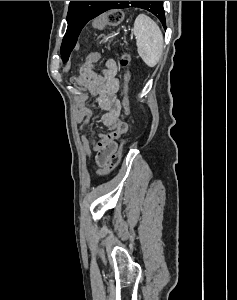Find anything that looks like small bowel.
Listing matches in <instances>:
<instances>
[{
	"label": "small bowel",
	"instance_id": "1",
	"mask_svg": "<svg viewBox=\"0 0 237 300\" xmlns=\"http://www.w3.org/2000/svg\"><path fill=\"white\" fill-rule=\"evenodd\" d=\"M117 72L116 62L107 60L101 70H95L94 65H84L80 74L74 78L77 84L86 87L97 97V104L104 111L101 122L109 132L95 135L85 133L92 116L91 109L83 106L77 112L85 153L89 157L91 149L95 151L96 162L99 166L107 163L110 155L117 149V140L128 131V124L119 118L121 104L117 97L119 91Z\"/></svg>",
	"mask_w": 237,
	"mask_h": 300
}]
</instances>
